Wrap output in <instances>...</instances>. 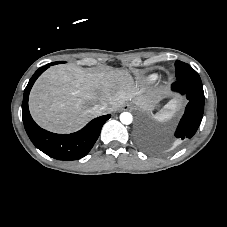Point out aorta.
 Wrapping results in <instances>:
<instances>
[{"mask_svg":"<svg viewBox=\"0 0 227 227\" xmlns=\"http://www.w3.org/2000/svg\"><path fill=\"white\" fill-rule=\"evenodd\" d=\"M133 120V116L131 113L129 112H123L120 114V121L121 123L125 124V125H129L132 123Z\"/></svg>","mask_w":227,"mask_h":227,"instance_id":"obj_1","label":"aorta"}]
</instances>
